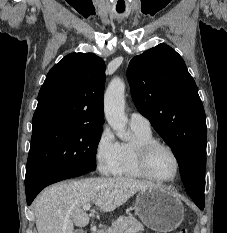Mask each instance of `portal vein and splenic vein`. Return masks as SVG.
<instances>
[{
	"mask_svg": "<svg viewBox=\"0 0 227 233\" xmlns=\"http://www.w3.org/2000/svg\"><path fill=\"white\" fill-rule=\"evenodd\" d=\"M90 208H91V204L90 203L83 205V210L84 211H88Z\"/></svg>",
	"mask_w": 227,
	"mask_h": 233,
	"instance_id": "obj_1",
	"label": "portal vein and splenic vein"
}]
</instances>
